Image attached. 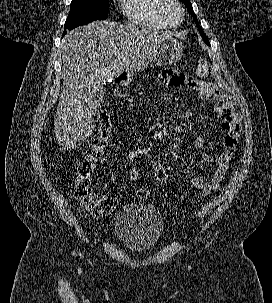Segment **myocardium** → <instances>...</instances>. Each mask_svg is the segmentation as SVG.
Masks as SVG:
<instances>
[{"label": "myocardium", "instance_id": "1", "mask_svg": "<svg viewBox=\"0 0 272 303\" xmlns=\"http://www.w3.org/2000/svg\"><path fill=\"white\" fill-rule=\"evenodd\" d=\"M173 5L175 6L180 14V18L176 23L171 22L166 14L168 6ZM159 16L161 20L168 26V27H177L179 26L184 19V8L178 0H162L161 5L159 7Z\"/></svg>", "mask_w": 272, "mask_h": 303}]
</instances>
